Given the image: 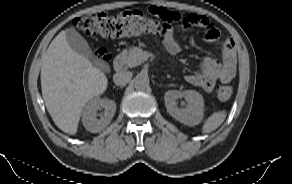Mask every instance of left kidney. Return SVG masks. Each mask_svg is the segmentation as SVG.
Wrapping results in <instances>:
<instances>
[{"mask_svg":"<svg viewBox=\"0 0 292 184\" xmlns=\"http://www.w3.org/2000/svg\"><path fill=\"white\" fill-rule=\"evenodd\" d=\"M181 97H184L188 103L184 109H179L176 104V100ZM164 101L168 113L185 125H197L203 118L204 99L197 91L186 90L180 92L178 90H169L165 92Z\"/></svg>","mask_w":292,"mask_h":184,"instance_id":"left-kidney-1","label":"left kidney"}]
</instances>
